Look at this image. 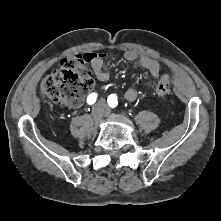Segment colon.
Wrapping results in <instances>:
<instances>
[{
    "instance_id": "colon-1",
    "label": "colon",
    "mask_w": 221,
    "mask_h": 221,
    "mask_svg": "<svg viewBox=\"0 0 221 221\" xmlns=\"http://www.w3.org/2000/svg\"><path fill=\"white\" fill-rule=\"evenodd\" d=\"M85 56L75 55L61 61L59 69L45 77L41 92L55 102L78 106L93 86V79ZM156 93L163 98L171 97V78L164 74L156 85Z\"/></svg>"
}]
</instances>
